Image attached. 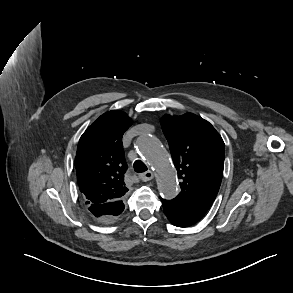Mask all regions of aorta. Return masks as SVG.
<instances>
[{"mask_svg":"<svg viewBox=\"0 0 293 293\" xmlns=\"http://www.w3.org/2000/svg\"><path fill=\"white\" fill-rule=\"evenodd\" d=\"M136 145L141 156L156 173L159 192L167 199L174 198L178 191L176 172L160 142L152 135H142Z\"/></svg>","mask_w":293,"mask_h":293,"instance_id":"obj_1","label":"aorta"}]
</instances>
